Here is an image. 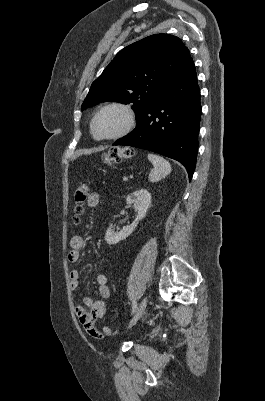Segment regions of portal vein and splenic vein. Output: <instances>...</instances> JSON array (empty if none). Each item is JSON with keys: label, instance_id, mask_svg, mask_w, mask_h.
Masks as SVG:
<instances>
[{"label": "portal vein and splenic vein", "instance_id": "18ae733b", "mask_svg": "<svg viewBox=\"0 0 265 401\" xmlns=\"http://www.w3.org/2000/svg\"><path fill=\"white\" fill-rule=\"evenodd\" d=\"M123 180H124V181H127V180H128V177H127V176H124V177H123Z\"/></svg>", "mask_w": 265, "mask_h": 401}]
</instances>
